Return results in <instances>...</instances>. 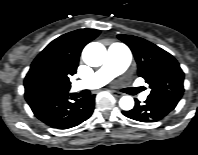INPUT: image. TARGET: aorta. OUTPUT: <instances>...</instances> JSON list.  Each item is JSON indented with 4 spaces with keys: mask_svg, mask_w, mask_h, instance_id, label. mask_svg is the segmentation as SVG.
Segmentation results:
<instances>
[{
    "mask_svg": "<svg viewBox=\"0 0 198 155\" xmlns=\"http://www.w3.org/2000/svg\"><path fill=\"white\" fill-rule=\"evenodd\" d=\"M106 48L99 42H91L85 46L82 52L84 62L92 67L101 66L106 60ZM122 110L129 111L134 107V99L131 96H123L119 100Z\"/></svg>",
    "mask_w": 198,
    "mask_h": 155,
    "instance_id": "1",
    "label": "aorta"
}]
</instances>
